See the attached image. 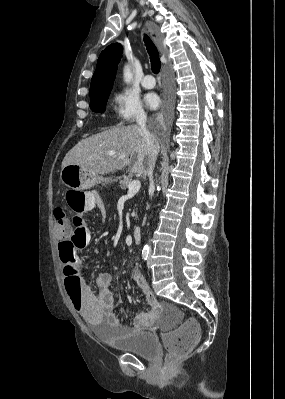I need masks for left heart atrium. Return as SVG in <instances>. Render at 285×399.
<instances>
[{
    "instance_id": "39dd6f15",
    "label": "left heart atrium",
    "mask_w": 285,
    "mask_h": 399,
    "mask_svg": "<svg viewBox=\"0 0 285 399\" xmlns=\"http://www.w3.org/2000/svg\"><path fill=\"white\" fill-rule=\"evenodd\" d=\"M146 103L151 109H156L159 106L160 100L159 97L154 94L150 93L146 96Z\"/></svg>"
}]
</instances>
